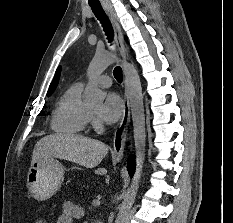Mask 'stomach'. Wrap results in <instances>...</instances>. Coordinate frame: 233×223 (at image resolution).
Listing matches in <instances>:
<instances>
[{
	"label": "stomach",
	"mask_w": 233,
	"mask_h": 223,
	"mask_svg": "<svg viewBox=\"0 0 233 223\" xmlns=\"http://www.w3.org/2000/svg\"><path fill=\"white\" fill-rule=\"evenodd\" d=\"M64 181V165L56 157H40L33 161L27 175V187L31 197L44 201L56 193Z\"/></svg>",
	"instance_id": "obj_1"
}]
</instances>
